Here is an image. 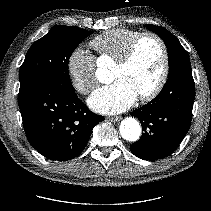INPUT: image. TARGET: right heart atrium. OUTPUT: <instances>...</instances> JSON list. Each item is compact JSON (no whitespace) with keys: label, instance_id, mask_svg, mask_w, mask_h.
Masks as SVG:
<instances>
[{"label":"right heart atrium","instance_id":"obj_1","mask_svg":"<svg viewBox=\"0 0 211 211\" xmlns=\"http://www.w3.org/2000/svg\"><path fill=\"white\" fill-rule=\"evenodd\" d=\"M66 68L73 88L88 95L97 86L95 58L82 47L74 48L67 58Z\"/></svg>","mask_w":211,"mask_h":211}]
</instances>
